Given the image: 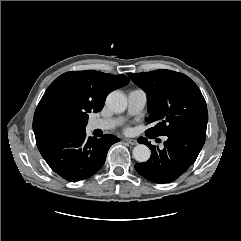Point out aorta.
Masks as SVG:
<instances>
[{"label": "aorta", "instance_id": "1", "mask_svg": "<svg viewBox=\"0 0 241 241\" xmlns=\"http://www.w3.org/2000/svg\"><path fill=\"white\" fill-rule=\"evenodd\" d=\"M106 105L111 111L121 113L127 107V100L122 93L113 91L107 96ZM150 155L149 147L144 144H138L133 149V157L138 162H146L150 158Z\"/></svg>", "mask_w": 241, "mask_h": 241}]
</instances>
